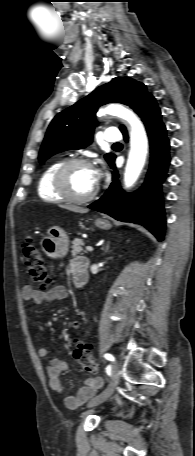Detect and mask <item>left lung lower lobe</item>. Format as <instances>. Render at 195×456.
Returning <instances> with one entry per match:
<instances>
[{
  "label": "left lung lower lobe",
  "mask_w": 195,
  "mask_h": 456,
  "mask_svg": "<svg viewBox=\"0 0 195 456\" xmlns=\"http://www.w3.org/2000/svg\"><path fill=\"white\" fill-rule=\"evenodd\" d=\"M147 129L151 159L143 186L136 192L126 194L119 185L118 173L113 172V182L105 194L88 207L124 222L145 226L158 240H163L165 213L161 195V184L166 178L170 162L169 141L166 128L161 121V111L154 97L148 99L137 111ZM127 140L126 131L123 132ZM111 167L115 169L114 162Z\"/></svg>",
  "instance_id": "left-lung-lower-lobe-1"
}]
</instances>
